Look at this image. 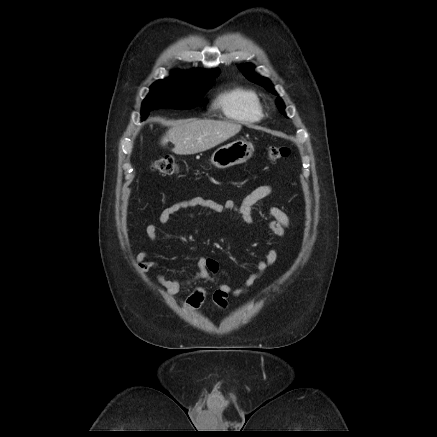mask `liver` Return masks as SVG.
I'll return each mask as SVG.
<instances>
[{
  "mask_svg": "<svg viewBox=\"0 0 437 437\" xmlns=\"http://www.w3.org/2000/svg\"><path fill=\"white\" fill-rule=\"evenodd\" d=\"M241 124L217 120H178L161 139V144H174L173 152L191 155L209 150L240 132Z\"/></svg>",
  "mask_w": 437,
  "mask_h": 437,
  "instance_id": "6515ba94",
  "label": "liver"
}]
</instances>
